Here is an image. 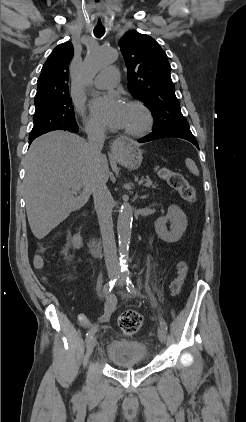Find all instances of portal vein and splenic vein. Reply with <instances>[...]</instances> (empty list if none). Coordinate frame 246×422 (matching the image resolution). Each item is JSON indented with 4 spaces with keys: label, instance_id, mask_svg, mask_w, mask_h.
I'll list each match as a JSON object with an SVG mask.
<instances>
[{
    "label": "portal vein and splenic vein",
    "instance_id": "18ae733b",
    "mask_svg": "<svg viewBox=\"0 0 246 422\" xmlns=\"http://www.w3.org/2000/svg\"><path fill=\"white\" fill-rule=\"evenodd\" d=\"M144 183L150 184L151 182H147V181L145 182V180H143V179H141V180L138 181V185H142Z\"/></svg>",
    "mask_w": 246,
    "mask_h": 422
}]
</instances>
